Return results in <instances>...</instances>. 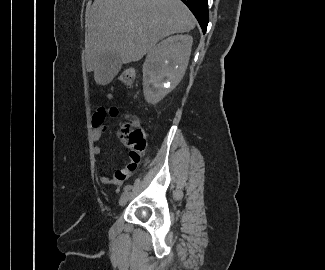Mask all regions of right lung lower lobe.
Here are the masks:
<instances>
[{
    "label": "right lung lower lobe",
    "instance_id": "right-lung-lower-lobe-1",
    "mask_svg": "<svg viewBox=\"0 0 325 270\" xmlns=\"http://www.w3.org/2000/svg\"><path fill=\"white\" fill-rule=\"evenodd\" d=\"M194 14L198 20L203 33L206 32L207 24L209 21L208 3L207 0H181Z\"/></svg>",
    "mask_w": 325,
    "mask_h": 270
}]
</instances>
